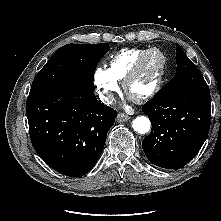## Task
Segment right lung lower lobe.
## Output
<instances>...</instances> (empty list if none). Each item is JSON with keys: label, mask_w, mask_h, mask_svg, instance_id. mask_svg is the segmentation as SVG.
I'll return each instance as SVG.
<instances>
[{"label": "right lung lower lobe", "mask_w": 221, "mask_h": 221, "mask_svg": "<svg viewBox=\"0 0 221 221\" xmlns=\"http://www.w3.org/2000/svg\"><path fill=\"white\" fill-rule=\"evenodd\" d=\"M26 114L36 153L70 177L83 176L94 167L117 116L92 89L83 87L29 94Z\"/></svg>", "instance_id": "98d812e1"}]
</instances>
